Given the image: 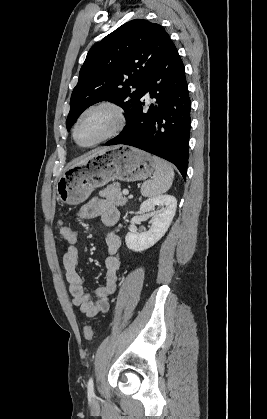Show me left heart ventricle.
Segmentation results:
<instances>
[{
	"mask_svg": "<svg viewBox=\"0 0 267 419\" xmlns=\"http://www.w3.org/2000/svg\"><path fill=\"white\" fill-rule=\"evenodd\" d=\"M114 123L112 113L98 109L88 113L79 124L77 136L82 144H90L106 134Z\"/></svg>",
	"mask_w": 267,
	"mask_h": 419,
	"instance_id": "left-heart-ventricle-1",
	"label": "left heart ventricle"
}]
</instances>
